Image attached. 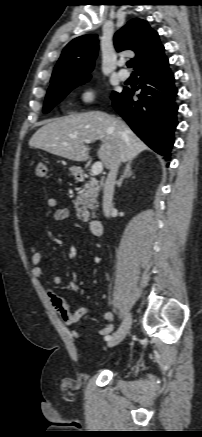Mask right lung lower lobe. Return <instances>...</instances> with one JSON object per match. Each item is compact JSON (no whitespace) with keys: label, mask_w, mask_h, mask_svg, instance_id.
Masks as SVG:
<instances>
[{"label":"right lung lower lobe","mask_w":202,"mask_h":437,"mask_svg":"<svg viewBox=\"0 0 202 437\" xmlns=\"http://www.w3.org/2000/svg\"><path fill=\"white\" fill-rule=\"evenodd\" d=\"M135 75L139 76V100L132 99L134 90L125 88L112 97V106L141 140L169 161L178 125V90L168 58L164 54L137 68Z\"/></svg>","instance_id":"obj_1"}]
</instances>
